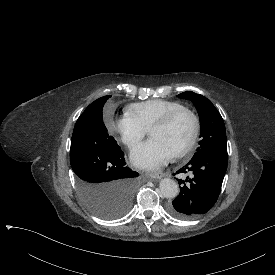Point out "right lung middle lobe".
Listing matches in <instances>:
<instances>
[{
  "label": "right lung middle lobe",
  "mask_w": 275,
  "mask_h": 275,
  "mask_svg": "<svg viewBox=\"0 0 275 275\" xmlns=\"http://www.w3.org/2000/svg\"><path fill=\"white\" fill-rule=\"evenodd\" d=\"M110 97L95 100L78 118L70 163L88 208L99 217L115 219L129 211L139 174L126 167L123 151L103 123L102 109Z\"/></svg>",
  "instance_id": "right-lung-middle-lobe-1"
}]
</instances>
